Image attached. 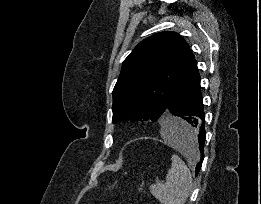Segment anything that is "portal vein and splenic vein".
I'll list each match as a JSON object with an SVG mask.
<instances>
[{
  "label": "portal vein and splenic vein",
  "instance_id": "18ae733b",
  "mask_svg": "<svg viewBox=\"0 0 261 204\" xmlns=\"http://www.w3.org/2000/svg\"><path fill=\"white\" fill-rule=\"evenodd\" d=\"M155 183H156V184H159V183H160V181L156 180V181H155Z\"/></svg>",
  "mask_w": 261,
  "mask_h": 204
}]
</instances>
